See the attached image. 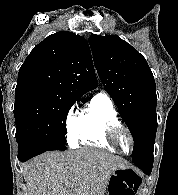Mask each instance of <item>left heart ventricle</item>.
<instances>
[{"mask_svg":"<svg viewBox=\"0 0 178 195\" xmlns=\"http://www.w3.org/2000/svg\"><path fill=\"white\" fill-rule=\"evenodd\" d=\"M118 145L124 152H129L131 150V141L126 132H120L118 137Z\"/></svg>","mask_w":178,"mask_h":195,"instance_id":"b2bd125f","label":"left heart ventricle"}]
</instances>
